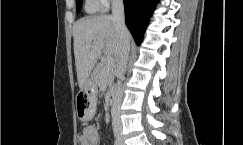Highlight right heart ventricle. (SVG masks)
<instances>
[{
    "instance_id": "obj_1",
    "label": "right heart ventricle",
    "mask_w": 243,
    "mask_h": 145,
    "mask_svg": "<svg viewBox=\"0 0 243 145\" xmlns=\"http://www.w3.org/2000/svg\"><path fill=\"white\" fill-rule=\"evenodd\" d=\"M102 7L99 0H86L85 9L88 13H96L101 10Z\"/></svg>"
}]
</instances>
